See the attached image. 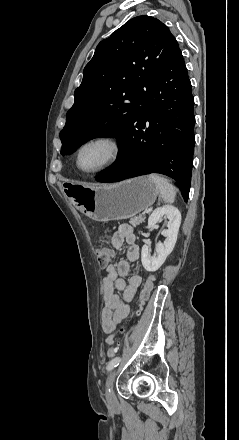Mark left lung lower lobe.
<instances>
[{
	"instance_id": "obj_1",
	"label": "left lung lower lobe",
	"mask_w": 239,
	"mask_h": 440,
	"mask_svg": "<svg viewBox=\"0 0 239 440\" xmlns=\"http://www.w3.org/2000/svg\"><path fill=\"white\" fill-rule=\"evenodd\" d=\"M141 103L117 137V161L97 181L160 173L180 184L187 201L195 144L194 98L178 44Z\"/></svg>"
}]
</instances>
